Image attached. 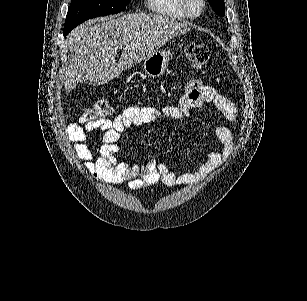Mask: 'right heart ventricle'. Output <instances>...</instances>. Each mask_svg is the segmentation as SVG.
<instances>
[{"mask_svg": "<svg viewBox=\"0 0 307 301\" xmlns=\"http://www.w3.org/2000/svg\"><path fill=\"white\" fill-rule=\"evenodd\" d=\"M153 4L151 10L158 13V17H183L184 11L178 9L177 0H149Z\"/></svg>", "mask_w": 307, "mask_h": 301, "instance_id": "e07e8e85", "label": "right heart ventricle"}]
</instances>
